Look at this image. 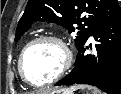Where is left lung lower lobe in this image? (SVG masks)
<instances>
[{
	"instance_id": "left-lung-lower-lobe-1",
	"label": "left lung lower lobe",
	"mask_w": 121,
	"mask_h": 94,
	"mask_svg": "<svg viewBox=\"0 0 121 94\" xmlns=\"http://www.w3.org/2000/svg\"><path fill=\"white\" fill-rule=\"evenodd\" d=\"M92 35L97 42L94 52L85 55L88 46L78 49L75 67L56 86L88 84L107 94H121V12L102 23Z\"/></svg>"
}]
</instances>
